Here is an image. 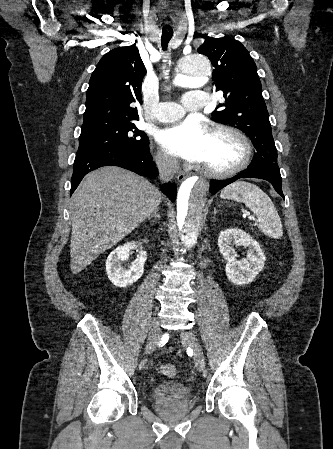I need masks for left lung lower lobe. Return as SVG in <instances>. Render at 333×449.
<instances>
[{
	"instance_id": "1",
	"label": "left lung lower lobe",
	"mask_w": 333,
	"mask_h": 449,
	"mask_svg": "<svg viewBox=\"0 0 333 449\" xmlns=\"http://www.w3.org/2000/svg\"><path fill=\"white\" fill-rule=\"evenodd\" d=\"M247 177L268 180L273 185V187L275 188L277 193L280 194L284 198V195H283V192L281 189L282 179H281V175H280V170L279 169H271V168L260 169V168L248 167L246 170L242 171L241 173H239L238 175H236L230 179L221 180V181L212 180V181H210V192L212 194H215L220 189H222L226 185L236 181L237 179L247 178Z\"/></svg>"
}]
</instances>
